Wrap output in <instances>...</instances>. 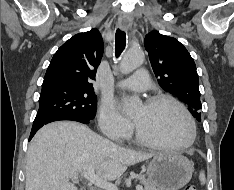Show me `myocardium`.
<instances>
[{
	"label": "myocardium",
	"instance_id": "f54148a6",
	"mask_svg": "<svg viewBox=\"0 0 234 190\" xmlns=\"http://www.w3.org/2000/svg\"><path fill=\"white\" fill-rule=\"evenodd\" d=\"M161 101L171 102L172 104L177 106L182 111V113L186 117L188 124H189V127H190L189 138L183 143L158 142V141H155V140L149 138L148 136H146L143 133V131L141 130V128L139 127V125L135 121H133V127H134V131H135V135H136L137 140L139 142L143 143L144 145H147L150 147H155V148L180 150V149H185V148L190 147L194 143V141L196 139V135H197L196 124H195V121H194L191 113L189 112L187 107L182 102H180L178 99H176L175 97H173L169 94L153 95L145 101V105L151 106V105H154V104L161 102Z\"/></svg>",
	"mask_w": 234,
	"mask_h": 190
}]
</instances>
